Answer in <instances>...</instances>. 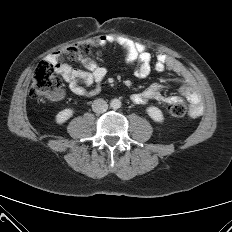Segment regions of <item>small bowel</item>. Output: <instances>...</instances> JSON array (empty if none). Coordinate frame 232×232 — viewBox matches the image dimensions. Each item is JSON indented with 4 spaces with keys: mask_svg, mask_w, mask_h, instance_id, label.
<instances>
[{
    "mask_svg": "<svg viewBox=\"0 0 232 232\" xmlns=\"http://www.w3.org/2000/svg\"><path fill=\"white\" fill-rule=\"evenodd\" d=\"M97 41L100 44L114 42L124 48L129 56V66L137 78H146L152 69L158 72H168L173 79L182 81L180 87L181 97L164 95L162 83H153L146 89L131 95V101L135 104H143L150 100H158L167 104L181 102L185 98L190 103V116L199 117L203 112L201 96L194 76L188 68L178 59L164 52L152 55L144 45L135 43L129 39L117 35L107 34L100 36ZM55 56H49L54 60ZM84 69H76L69 64L55 63L56 72L67 83L71 93L78 96H91L101 90L102 82L107 76V69L94 61L84 58L80 60ZM65 93L51 97L54 101L62 100Z\"/></svg>",
    "mask_w": 232,
    "mask_h": 232,
    "instance_id": "c3829d8e",
    "label": "small bowel"
}]
</instances>
